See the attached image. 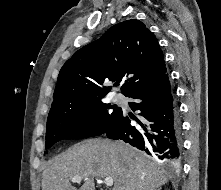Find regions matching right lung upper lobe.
Wrapping results in <instances>:
<instances>
[{"label": "right lung upper lobe", "mask_w": 221, "mask_h": 190, "mask_svg": "<svg viewBox=\"0 0 221 190\" xmlns=\"http://www.w3.org/2000/svg\"><path fill=\"white\" fill-rule=\"evenodd\" d=\"M167 73L164 55L144 23L131 19L112 26L100 39L76 51L60 70L51 107L103 98L105 81L126 79L128 96Z\"/></svg>", "instance_id": "obj_1"}]
</instances>
